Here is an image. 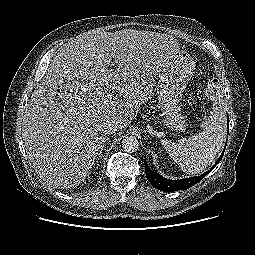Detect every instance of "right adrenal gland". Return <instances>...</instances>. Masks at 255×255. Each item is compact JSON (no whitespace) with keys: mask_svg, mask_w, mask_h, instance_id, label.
<instances>
[{"mask_svg":"<svg viewBox=\"0 0 255 255\" xmlns=\"http://www.w3.org/2000/svg\"><path fill=\"white\" fill-rule=\"evenodd\" d=\"M109 139H110V138H106V139H105V141H104V143H106L107 141H109ZM103 149H104V144H103L102 148L100 149V151H99V154H98V155H101V153H102Z\"/></svg>","mask_w":255,"mask_h":255,"instance_id":"1","label":"right adrenal gland"}]
</instances>
